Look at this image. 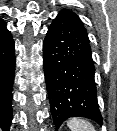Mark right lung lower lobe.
<instances>
[{
    "mask_svg": "<svg viewBox=\"0 0 117 131\" xmlns=\"http://www.w3.org/2000/svg\"><path fill=\"white\" fill-rule=\"evenodd\" d=\"M15 47L6 26L0 29V126L9 131L12 120V84L14 80Z\"/></svg>",
    "mask_w": 117,
    "mask_h": 131,
    "instance_id": "1",
    "label": "right lung lower lobe"
}]
</instances>
